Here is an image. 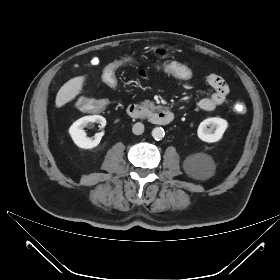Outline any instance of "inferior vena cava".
<instances>
[{
    "instance_id": "inferior-vena-cava-1",
    "label": "inferior vena cava",
    "mask_w": 280,
    "mask_h": 280,
    "mask_svg": "<svg viewBox=\"0 0 280 280\" xmlns=\"http://www.w3.org/2000/svg\"><path fill=\"white\" fill-rule=\"evenodd\" d=\"M132 132L135 135H141L144 132V125L141 122H137L133 125Z\"/></svg>"
}]
</instances>
